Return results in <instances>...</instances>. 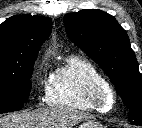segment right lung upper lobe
<instances>
[{
	"label": "right lung upper lobe",
	"instance_id": "cb5924a9",
	"mask_svg": "<svg viewBox=\"0 0 142 128\" xmlns=\"http://www.w3.org/2000/svg\"><path fill=\"white\" fill-rule=\"evenodd\" d=\"M51 30V19L42 16L16 15L0 24V74L36 59Z\"/></svg>",
	"mask_w": 142,
	"mask_h": 128
}]
</instances>
